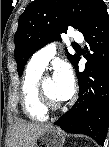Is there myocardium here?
I'll list each match as a JSON object with an SVG mask.
<instances>
[{
	"instance_id": "f54148a6",
	"label": "myocardium",
	"mask_w": 109,
	"mask_h": 147,
	"mask_svg": "<svg viewBox=\"0 0 109 147\" xmlns=\"http://www.w3.org/2000/svg\"><path fill=\"white\" fill-rule=\"evenodd\" d=\"M43 81H40L38 84V97L41 106L47 111H57L61 108V104L59 102L53 101L44 91Z\"/></svg>"
}]
</instances>
